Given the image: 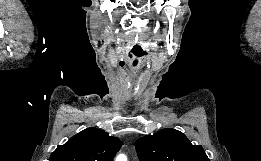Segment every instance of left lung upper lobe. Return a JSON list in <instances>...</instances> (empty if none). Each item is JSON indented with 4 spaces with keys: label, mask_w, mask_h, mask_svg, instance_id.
Returning <instances> with one entry per match:
<instances>
[{
    "label": "left lung upper lobe",
    "mask_w": 261,
    "mask_h": 161,
    "mask_svg": "<svg viewBox=\"0 0 261 161\" xmlns=\"http://www.w3.org/2000/svg\"><path fill=\"white\" fill-rule=\"evenodd\" d=\"M135 147L140 161H210L200 145L171 128L140 138Z\"/></svg>",
    "instance_id": "left-lung-upper-lobe-1"
}]
</instances>
